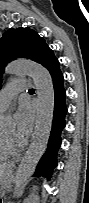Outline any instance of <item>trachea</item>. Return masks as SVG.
<instances>
[{
	"instance_id": "3493384b",
	"label": "trachea",
	"mask_w": 89,
	"mask_h": 203,
	"mask_svg": "<svg viewBox=\"0 0 89 203\" xmlns=\"http://www.w3.org/2000/svg\"><path fill=\"white\" fill-rule=\"evenodd\" d=\"M29 91H34V89H29Z\"/></svg>"
}]
</instances>
